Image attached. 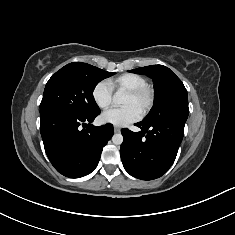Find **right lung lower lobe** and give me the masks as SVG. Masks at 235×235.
<instances>
[{
	"label": "right lung lower lobe",
	"mask_w": 235,
	"mask_h": 235,
	"mask_svg": "<svg viewBox=\"0 0 235 235\" xmlns=\"http://www.w3.org/2000/svg\"><path fill=\"white\" fill-rule=\"evenodd\" d=\"M100 113L73 116L63 112L40 114V132L46 154L62 175L79 178L97 166L103 147L113 136V126H93Z\"/></svg>",
	"instance_id": "obj_1"
}]
</instances>
